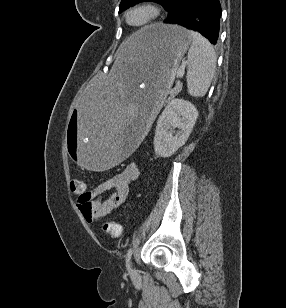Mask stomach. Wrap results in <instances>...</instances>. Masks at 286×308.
<instances>
[{
	"mask_svg": "<svg viewBox=\"0 0 286 308\" xmlns=\"http://www.w3.org/2000/svg\"><path fill=\"white\" fill-rule=\"evenodd\" d=\"M136 33L120 44L107 81H95L71 112L65 149L75 168H118L135 153L192 43L188 30L174 24L156 23Z\"/></svg>",
	"mask_w": 286,
	"mask_h": 308,
	"instance_id": "1",
	"label": "stomach"
}]
</instances>
